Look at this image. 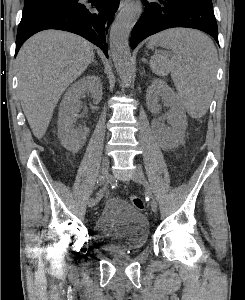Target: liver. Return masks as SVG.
Segmentation results:
<instances>
[{"label":"liver","instance_id":"6515ba94","mask_svg":"<svg viewBox=\"0 0 245 300\" xmlns=\"http://www.w3.org/2000/svg\"><path fill=\"white\" fill-rule=\"evenodd\" d=\"M93 58L90 42L58 30L37 33L21 47L16 58L18 90L23 112L36 138L45 135L61 95Z\"/></svg>","mask_w":245,"mask_h":300}]
</instances>
